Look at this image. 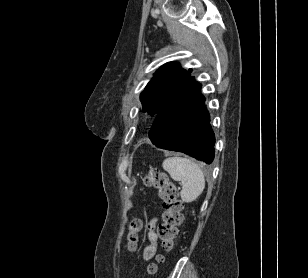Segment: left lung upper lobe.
Returning <instances> with one entry per match:
<instances>
[{"mask_svg": "<svg viewBox=\"0 0 308 278\" xmlns=\"http://www.w3.org/2000/svg\"><path fill=\"white\" fill-rule=\"evenodd\" d=\"M191 72L181 69L177 62L161 66L140 95L143 112L156 116L188 81Z\"/></svg>", "mask_w": 308, "mask_h": 278, "instance_id": "left-lung-upper-lobe-1", "label": "left lung upper lobe"}]
</instances>
